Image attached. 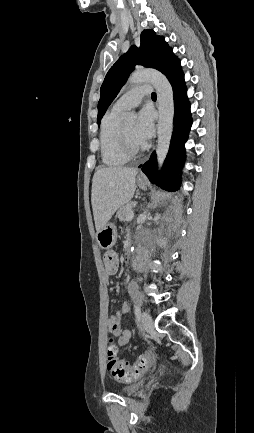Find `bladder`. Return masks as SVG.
Returning <instances> with one entry per match:
<instances>
[{
  "instance_id": "1",
  "label": "bladder",
  "mask_w": 254,
  "mask_h": 433,
  "mask_svg": "<svg viewBox=\"0 0 254 433\" xmlns=\"http://www.w3.org/2000/svg\"><path fill=\"white\" fill-rule=\"evenodd\" d=\"M139 386H140V383L136 382L134 384L122 387L120 389V392L124 395H132L138 391Z\"/></svg>"
}]
</instances>
